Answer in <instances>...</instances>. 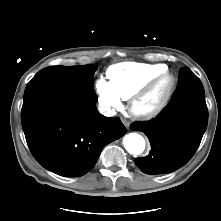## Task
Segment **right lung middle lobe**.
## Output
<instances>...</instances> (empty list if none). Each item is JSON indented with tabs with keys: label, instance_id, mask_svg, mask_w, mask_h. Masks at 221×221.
I'll return each instance as SVG.
<instances>
[{
	"label": "right lung middle lobe",
	"instance_id": "obj_1",
	"mask_svg": "<svg viewBox=\"0 0 221 221\" xmlns=\"http://www.w3.org/2000/svg\"><path fill=\"white\" fill-rule=\"evenodd\" d=\"M97 67L93 64L84 66H51L40 70L27 84H52L78 91H93V74Z\"/></svg>",
	"mask_w": 221,
	"mask_h": 221
}]
</instances>
